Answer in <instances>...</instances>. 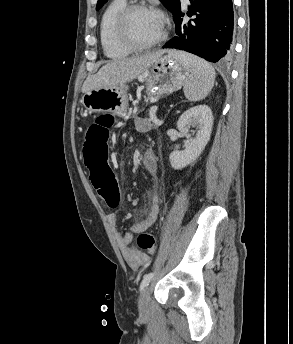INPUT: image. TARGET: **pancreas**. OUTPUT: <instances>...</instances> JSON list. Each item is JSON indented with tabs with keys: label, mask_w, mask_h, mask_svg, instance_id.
I'll use <instances>...</instances> for the list:
<instances>
[{
	"label": "pancreas",
	"mask_w": 293,
	"mask_h": 344,
	"mask_svg": "<svg viewBox=\"0 0 293 344\" xmlns=\"http://www.w3.org/2000/svg\"><path fill=\"white\" fill-rule=\"evenodd\" d=\"M153 120L152 119H148V120H146V125H147V129H151L153 126H154V124H153Z\"/></svg>",
	"instance_id": "obj_1"
}]
</instances>
